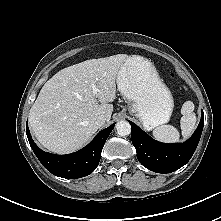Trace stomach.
Segmentation results:
<instances>
[{
	"instance_id": "stomach-1",
	"label": "stomach",
	"mask_w": 221,
	"mask_h": 221,
	"mask_svg": "<svg viewBox=\"0 0 221 221\" xmlns=\"http://www.w3.org/2000/svg\"><path fill=\"white\" fill-rule=\"evenodd\" d=\"M116 81L118 90L128 100L129 113L147 130L170 120L173 97L151 61L138 55L129 56L121 64Z\"/></svg>"
}]
</instances>
